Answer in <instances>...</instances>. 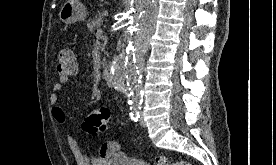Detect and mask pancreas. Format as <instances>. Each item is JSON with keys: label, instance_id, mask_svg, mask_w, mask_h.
Returning a JSON list of instances; mask_svg holds the SVG:
<instances>
[{"label": "pancreas", "instance_id": "1", "mask_svg": "<svg viewBox=\"0 0 276 165\" xmlns=\"http://www.w3.org/2000/svg\"><path fill=\"white\" fill-rule=\"evenodd\" d=\"M103 25L102 17L95 16L91 20L88 21L87 27L91 33H94L96 29H99Z\"/></svg>", "mask_w": 276, "mask_h": 165}]
</instances>
